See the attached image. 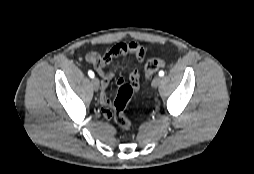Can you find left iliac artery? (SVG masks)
<instances>
[{"mask_svg":"<svg viewBox=\"0 0 254 174\" xmlns=\"http://www.w3.org/2000/svg\"><path fill=\"white\" fill-rule=\"evenodd\" d=\"M159 76H160V77H163V76H164V71L161 70V71L159 72Z\"/></svg>","mask_w":254,"mask_h":174,"instance_id":"left-iliac-artery-1","label":"left iliac artery"}]
</instances>
